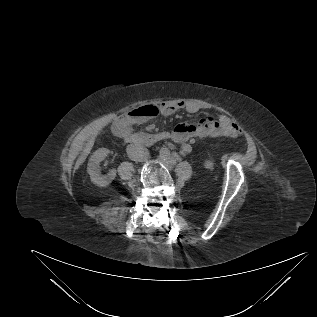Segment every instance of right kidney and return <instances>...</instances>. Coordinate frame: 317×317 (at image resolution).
Returning <instances> with one entry per match:
<instances>
[{
    "label": "right kidney",
    "mask_w": 317,
    "mask_h": 317,
    "mask_svg": "<svg viewBox=\"0 0 317 317\" xmlns=\"http://www.w3.org/2000/svg\"><path fill=\"white\" fill-rule=\"evenodd\" d=\"M109 150L99 148L89 158L87 172L90 175L91 181L97 186L103 187L109 185L116 176V170L112 169L106 175H102L99 169V163L108 155Z\"/></svg>",
    "instance_id": "1"
}]
</instances>
